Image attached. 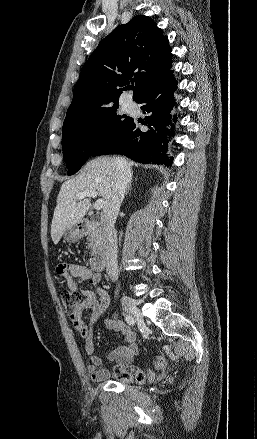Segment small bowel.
Listing matches in <instances>:
<instances>
[{
	"instance_id": "1",
	"label": "small bowel",
	"mask_w": 257,
	"mask_h": 439,
	"mask_svg": "<svg viewBox=\"0 0 257 439\" xmlns=\"http://www.w3.org/2000/svg\"><path fill=\"white\" fill-rule=\"evenodd\" d=\"M57 273L64 278L68 287L72 290L77 289L75 279L86 281L94 287L93 290H84L82 292L83 299L78 305L76 311L69 314L76 332L83 339L84 352L88 359L85 365L86 372L94 382H100L108 379L111 375L110 371L101 368L103 359L96 356L93 341V325L101 318L109 306V295L105 289L99 286L100 275L92 272L89 268L75 264H60ZM90 310V321L87 323L83 318V311ZM105 326L111 331L120 333L124 340V344L113 349L107 356L109 361L115 362V372L123 367H127L137 353L136 338L131 328L121 320L107 319ZM162 363V359H160ZM160 363V364H161Z\"/></svg>"
}]
</instances>
